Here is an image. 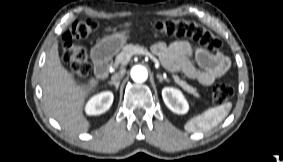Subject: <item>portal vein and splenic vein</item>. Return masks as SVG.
I'll return each instance as SVG.
<instances>
[{"label": "portal vein and splenic vein", "mask_w": 283, "mask_h": 162, "mask_svg": "<svg viewBox=\"0 0 283 162\" xmlns=\"http://www.w3.org/2000/svg\"><path fill=\"white\" fill-rule=\"evenodd\" d=\"M142 54H145L148 57H150L153 60V62L155 63L156 67H160V63H159L158 59L155 58L151 53H149L148 51H143ZM129 60H130V56H127L125 58V60H123L121 63L122 64H127L129 62Z\"/></svg>", "instance_id": "obj_1"}]
</instances>
